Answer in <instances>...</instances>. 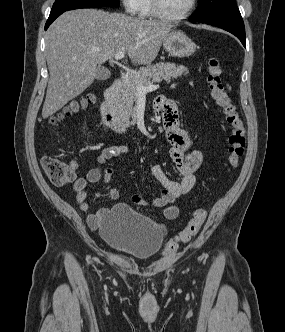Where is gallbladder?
I'll use <instances>...</instances> for the list:
<instances>
[{
	"mask_svg": "<svg viewBox=\"0 0 285 332\" xmlns=\"http://www.w3.org/2000/svg\"><path fill=\"white\" fill-rule=\"evenodd\" d=\"M111 73L107 68L98 67L96 71V79L99 81L107 80Z\"/></svg>",
	"mask_w": 285,
	"mask_h": 332,
	"instance_id": "1",
	"label": "gallbladder"
}]
</instances>
